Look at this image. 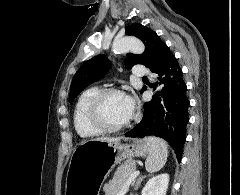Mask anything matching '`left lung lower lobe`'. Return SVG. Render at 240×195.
I'll return each instance as SVG.
<instances>
[{"instance_id": "0a47b994", "label": "left lung lower lobe", "mask_w": 240, "mask_h": 195, "mask_svg": "<svg viewBox=\"0 0 240 195\" xmlns=\"http://www.w3.org/2000/svg\"><path fill=\"white\" fill-rule=\"evenodd\" d=\"M153 73L158 79L154 86H161V90L153 95L151 101L144 103L141 122L125 136L161 137L171 145L180 162L189 121V99L182 69L175 56L170 54Z\"/></svg>"}]
</instances>
